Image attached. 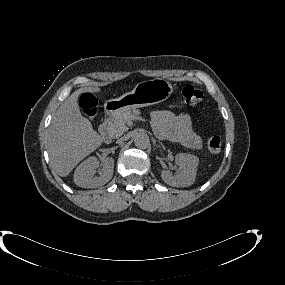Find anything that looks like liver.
Returning a JSON list of instances; mask_svg holds the SVG:
<instances>
[{"instance_id":"obj_1","label":"liver","mask_w":285,"mask_h":285,"mask_svg":"<svg viewBox=\"0 0 285 285\" xmlns=\"http://www.w3.org/2000/svg\"><path fill=\"white\" fill-rule=\"evenodd\" d=\"M97 87L74 91L58 108L47 134V151L55 172L67 176L87 155L102 144V138L91 122L83 117L78 97L84 92H99Z\"/></svg>"}]
</instances>
